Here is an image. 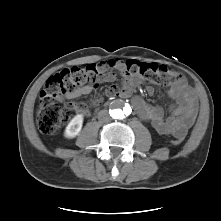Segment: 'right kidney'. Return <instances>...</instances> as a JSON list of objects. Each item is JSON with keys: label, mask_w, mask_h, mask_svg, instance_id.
Listing matches in <instances>:
<instances>
[{"label": "right kidney", "mask_w": 221, "mask_h": 221, "mask_svg": "<svg viewBox=\"0 0 221 221\" xmlns=\"http://www.w3.org/2000/svg\"><path fill=\"white\" fill-rule=\"evenodd\" d=\"M83 124V115L78 114L75 117L72 118V120L68 123L67 127L64 131V136L66 138H74L76 137L81 129Z\"/></svg>", "instance_id": "obj_1"}]
</instances>
